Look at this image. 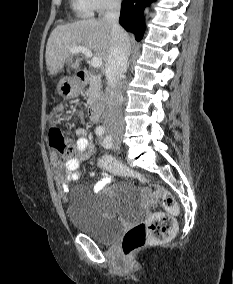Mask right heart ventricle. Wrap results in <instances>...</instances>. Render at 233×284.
Wrapping results in <instances>:
<instances>
[{
    "instance_id": "right-heart-ventricle-1",
    "label": "right heart ventricle",
    "mask_w": 233,
    "mask_h": 284,
    "mask_svg": "<svg viewBox=\"0 0 233 284\" xmlns=\"http://www.w3.org/2000/svg\"><path fill=\"white\" fill-rule=\"evenodd\" d=\"M74 7L76 11L84 17H91L93 14L88 0H74Z\"/></svg>"
}]
</instances>
